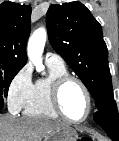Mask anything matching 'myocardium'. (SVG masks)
<instances>
[{
  "label": "myocardium",
  "mask_w": 119,
  "mask_h": 141,
  "mask_svg": "<svg viewBox=\"0 0 119 141\" xmlns=\"http://www.w3.org/2000/svg\"><path fill=\"white\" fill-rule=\"evenodd\" d=\"M70 82H75L76 84H78L81 87L86 97V101H87V111L85 115L81 119H78V120L69 118L64 113L62 106H61L62 91L64 87ZM50 99H51L52 107L54 111L56 112V114L63 120L70 122V123L78 124V123L84 122L90 116L91 111H92V98H91V94L87 86L84 84L82 80L70 74L60 76L53 81L51 85V89H50Z\"/></svg>",
  "instance_id": "f54148a6"
}]
</instances>
